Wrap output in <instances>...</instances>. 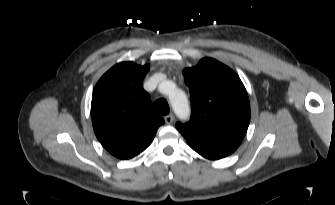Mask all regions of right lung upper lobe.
<instances>
[{"instance_id":"1","label":"right lung upper lobe","mask_w":335,"mask_h":205,"mask_svg":"<svg viewBox=\"0 0 335 205\" xmlns=\"http://www.w3.org/2000/svg\"><path fill=\"white\" fill-rule=\"evenodd\" d=\"M149 69L148 64L118 63L100 78L93 91L94 132L103 147L117 158L130 159L145 150L164 124L142 88Z\"/></svg>"}]
</instances>
